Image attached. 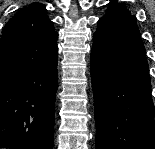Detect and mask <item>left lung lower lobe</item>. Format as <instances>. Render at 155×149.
<instances>
[{"label":"left lung lower lobe","mask_w":155,"mask_h":149,"mask_svg":"<svg viewBox=\"0 0 155 149\" xmlns=\"http://www.w3.org/2000/svg\"><path fill=\"white\" fill-rule=\"evenodd\" d=\"M96 149H155L148 62L136 17L98 21L91 51Z\"/></svg>","instance_id":"0a47b994"}]
</instances>
